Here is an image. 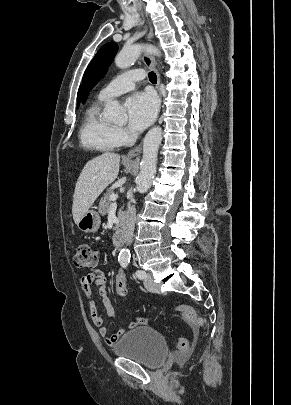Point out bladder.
<instances>
[{
  "label": "bladder",
  "mask_w": 291,
  "mask_h": 405,
  "mask_svg": "<svg viewBox=\"0 0 291 405\" xmlns=\"http://www.w3.org/2000/svg\"><path fill=\"white\" fill-rule=\"evenodd\" d=\"M117 356L134 360L148 368L159 367L169 348L165 337L149 326H139L124 334L113 347Z\"/></svg>",
  "instance_id": "1"
}]
</instances>
